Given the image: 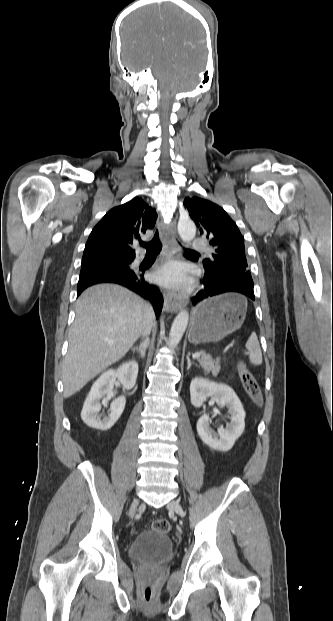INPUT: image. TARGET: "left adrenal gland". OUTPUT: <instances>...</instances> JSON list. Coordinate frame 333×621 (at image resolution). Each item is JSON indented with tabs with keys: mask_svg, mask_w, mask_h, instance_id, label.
Segmentation results:
<instances>
[{
	"mask_svg": "<svg viewBox=\"0 0 333 621\" xmlns=\"http://www.w3.org/2000/svg\"><path fill=\"white\" fill-rule=\"evenodd\" d=\"M186 358H187V371L191 368L192 365L195 366V367H198V365L195 362H191V360H190V352H188V355H187Z\"/></svg>",
	"mask_w": 333,
	"mask_h": 621,
	"instance_id": "1",
	"label": "left adrenal gland"
}]
</instances>
